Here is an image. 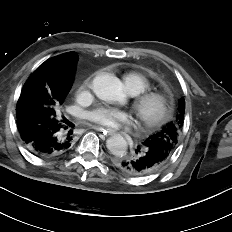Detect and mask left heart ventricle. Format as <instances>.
<instances>
[{
    "label": "left heart ventricle",
    "mask_w": 232,
    "mask_h": 232,
    "mask_svg": "<svg viewBox=\"0 0 232 232\" xmlns=\"http://www.w3.org/2000/svg\"><path fill=\"white\" fill-rule=\"evenodd\" d=\"M156 106L155 105H151L149 108H148V112H153L155 110Z\"/></svg>",
    "instance_id": "obj_1"
}]
</instances>
